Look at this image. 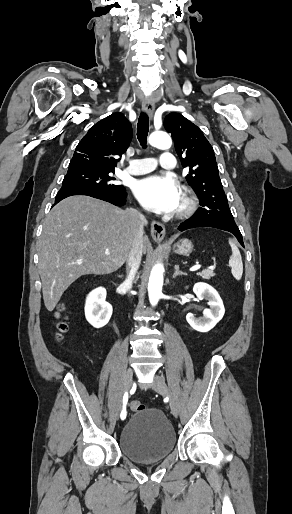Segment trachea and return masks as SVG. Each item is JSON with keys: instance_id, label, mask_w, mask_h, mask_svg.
Here are the masks:
<instances>
[{"instance_id": "3493384b", "label": "trachea", "mask_w": 292, "mask_h": 514, "mask_svg": "<svg viewBox=\"0 0 292 514\" xmlns=\"http://www.w3.org/2000/svg\"><path fill=\"white\" fill-rule=\"evenodd\" d=\"M149 132V118L144 112L140 114L137 124V138L143 149L147 147V136Z\"/></svg>"}]
</instances>
